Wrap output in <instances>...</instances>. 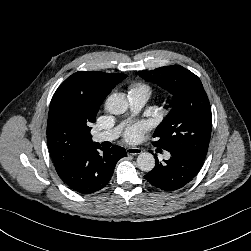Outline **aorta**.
I'll list each match as a JSON object with an SVG mask.
<instances>
[{
    "instance_id": "1",
    "label": "aorta",
    "mask_w": 251,
    "mask_h": 251,
    "mask_svg": "<svg viewBox=\"0 0 251 251\" xmlns=\"http://www.w3.org/2000/svg\"><path fill=\"white\" fill-rule=\"evenodd\" d=\"M105 107L108 112L120 115L128 109V101L122 94H112L106 100ZM137 166L141 171L150 172L155 167V158L149 152H143L137 157Z\"/></svg>"
}]
</instances>
